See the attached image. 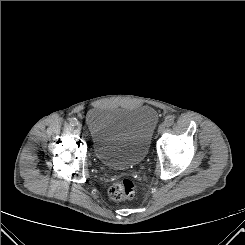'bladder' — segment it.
Segmentation results:
<instances>
[{
	"mask_svg": "<svg viewBox=\"0 0 245 245\" xmlns=\"http://www.w3.org/2000/svg\"><path fill=\"white\" fill-rule=\"evenodd\" d=\"M158 123L149 105L90 109L86 126L98 161L114 170L138 165L147 155Z\"/></svg>",
	"mask_w": 245,
	"mask_h": 245,
	"instance_id": "bladder-1",
	"label": "bladder"
}]
</instances>
